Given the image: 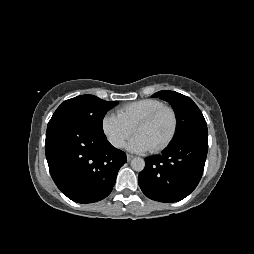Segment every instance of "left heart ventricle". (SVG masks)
Wrapping results in <instances>:
<instances>
[{"mask_svg":"<svg viewBox=\"0 0 254 254\" xmlns=\"http://www.w3.org/2000/svg\"><path fill=\"white\" fill-rule=\"evenodd\" d=\"M171 130L172 117L169 112L164 111L150 123L139 127L136 134L143 136L152 149L162 144L170 135Z\"/></svg>","mask_w":254,"mask_h":254,"instance_id":"obj_1","label":"left heart ventricle"}]
</instances>
